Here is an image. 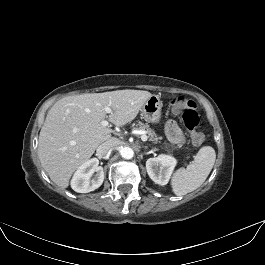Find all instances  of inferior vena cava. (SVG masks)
I'll return each instance as SVG.
<instances>
[{
    "mask_svg": "<svg viewBox=\"0 0 265 265\" xmlns=\"http://www.w3.org/2000/svg\"><path fill=\"white\" fill-rule=\"evenodd\" d=\"M118 140L116 138H110L107 141L100 144L97 148V154L99 156L108 154L116 145Z\"/></svg>",
    "mask_w": 265,
    "mask_h": 265,
    "instance_id": "1",
    "label": "inferior vena cava"
}]
</instances>
